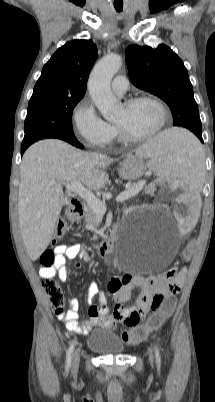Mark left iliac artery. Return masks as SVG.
Masks as SVG:
<instances>
[{
    "instance_id": "left-iliac-artery-1",
    "label": "left iliac artery",
    "mask_w": 215,
    "mask_h": 402,
    "mask_svg": "<svg viewBox=\"0 0 215 402\" xmlns=\"http://www.w3.org/2000/svg\"><path fill=\"white\" fill-rule=\"evenodd\" d=\"M155 357H156L157 365L160 366L161 357H160V353H159V350L157 347H155Z\"/></svg>"
}]
</instances>
